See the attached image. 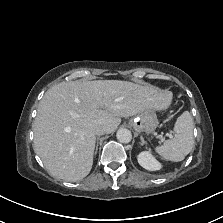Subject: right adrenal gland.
<instances>
[{"label": "right adrenal gland", "instance_id": "2a0ac1e0", "mask_svg": "<svg viewBox=\"0 0 223 223\" xmlns=\"http://www.w3.org/2000/svg\"><path fill=\"white\" fill-rule=\"evenodd\" d=\"M98 140H99V137L97 138V144H96V148H95V154L97 153V150H98Z\"/></svg>", "mask_w": 223, "mask_h": 223}]
</instances>
